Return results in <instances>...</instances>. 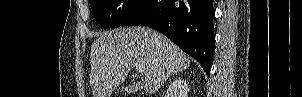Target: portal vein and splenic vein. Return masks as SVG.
<instances>
[{"instance_id":"1","label":"portal vein and splenic vein","mask_w":302,"mask_h":97,"mask_svg":"<svg viewBox=\"0 0 302 97\" xmlns=\"http://www.w3.org/2000/svg\"><path fill=\"white\" fill-rule=\"evenodd\" d=\"M136 70H137V72L142 73V72L145 71V66L142 65V64H139V65L136 66Z\"/></svg>"}]
</instances>
